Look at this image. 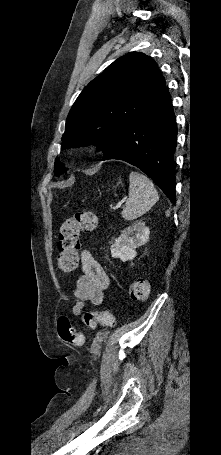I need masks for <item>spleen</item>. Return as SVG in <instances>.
<instances>
[{"mask_svg": "<svg viewBox=\"0 0 221 455\" xmlns=\"http://www.w3.org/2000/svg\"><path fill=\"white\" fill-rule=\"evenodd\" d=\"M129 181V198L121 215L125 220L132 221L149 211L159 195L152 181L141 173L132 171Z\"/></svg>", "mask_w": 221, "mask_h": 455, "instance_id": "3e777b00", "label": "spleen"}]
</instances>
